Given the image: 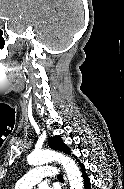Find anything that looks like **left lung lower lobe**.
<instances>
[{"label": "left lung lower lobe", "instance_id": "obj_1", "mask_svg": "<svg viewBox=\"0 0 124 189\" xmlns=\"http://www.w3.org/2000/svg\"><path fill=\"white\" fill-rule=\"evenodd\" d=\"M80 164V167H81V170H82V173H83V179H84V186H85V189H90L91 188V184H90V179L88 178L87 176V173L85 172L86 169H85V166L79 162Z\"/></svg>", "mask_w": 124, "mask_h": 189}]
</instances>
